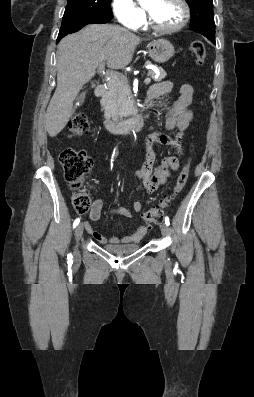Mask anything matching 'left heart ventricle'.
Here are the masks:
<instances>
[{
	"mask_svg": "<svg viewBox=\"0 0 254 397\" xmlns=\"http://www.w3.org/2000/svg\"><path fill=\"white\" fill-rule=\"evenodd\" d=\"M146 10L156 25L164 28L177 25L183 15L182 7L176 0H150Z\"/></svg>",
	"mask_w": 254,
	"mask_h": 397,
	"instance_id": "obj_1",
	"label": "left heart ventricle"
}]
</instances>
